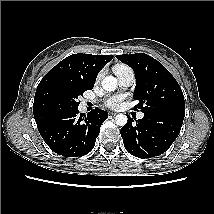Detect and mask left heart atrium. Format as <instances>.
Returning <instances> with one entry per match:
<instances>
[{"instance_id":"39dd6f15","label":"left heart atrium","mask_w":214,"mask_h":214,"mask_svg":"<svg viewBox=\"0 0 214 214\" xmlns=\"http://www.w3.org/2000/svg\"><path fill=\"white\" fill-rule=\"evenodd\" d=\"M125 99L124 94H114L110 95L105 99V105L108 106L109 108H118L122 101Z\"/></svg>"}]
</instances>
